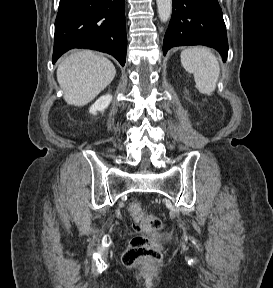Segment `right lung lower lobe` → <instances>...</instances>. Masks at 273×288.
Here are the masks:
<instances>
[{"mask_svg": "<svg viewBox=\"0 0 273 288\" xmlns=\"http://www.w3.org/2000/svg\"><path fill=\"white\" fill-rule=\"evenodd\" d=\"M72 48L111 54L124 66L125 0H60L55 20L53 63Z\"/></svg>", "mask_w": 273, "mask_h": 288, "instance_id": "98d812e1", "label": "right lung lower lobe"}]
</instances>
